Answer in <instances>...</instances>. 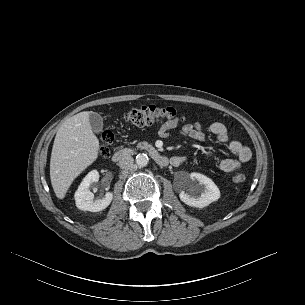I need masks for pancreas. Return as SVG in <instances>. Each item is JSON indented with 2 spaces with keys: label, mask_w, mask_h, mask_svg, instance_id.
<instances>
[{
  "label": "pancreas",
  "mask_w": 305,
  "mask_h": 305,
  "mask_svg": "<svg viewBox=\"0 0 305 305\" xmlns=\"http://www.w3.org/2000/svg\"><path fill=\"white\" fill-rule=\"evenodd\" d=\"M138 147L140 148H146V147H149L148 143L147 142H141L138 144Z\"/></svg>",
  "instance_id": "cf45deb5"
}]
</instances>
